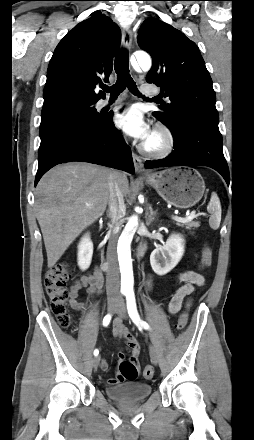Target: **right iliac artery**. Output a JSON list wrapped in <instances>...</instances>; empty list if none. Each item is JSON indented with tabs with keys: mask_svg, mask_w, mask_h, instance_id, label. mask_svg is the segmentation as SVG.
<instances>
[{
	"mask_svg": "<svg viewBox=\"0 0 254 440\" xmlns=\"http://www.w3.org/2000/svg\"><path fill=\"white\" fill-rule=\"evenodd\" d=\"M110 320H111V315L110 314L106 315L103 319V325L108 326V324L110 323ZM98 354H99L98 349H95L94 355L97 356Z\"/></svg>",
	"mask_w": 254,
	"mask_h": 440,
	"instance_id": "82829eb1",
	"label": "right iliac artery"
}]
</instances>
